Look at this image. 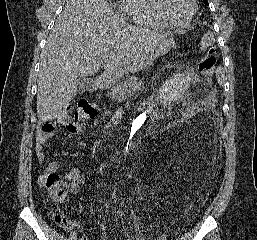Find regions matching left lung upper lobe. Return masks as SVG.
<instances>
[{"mask_svg": "<svg viewBox=\"0 0 257 240\" xmlns=\"http://www.w3.org/2000/svg\"><path fill=\"white\" fill-rule=\"evenodd\" d=\"M204 3H205V5H208V1H207V0H205V2H204Z\"/></svg>", "mask_w": 257, "mask_h": 240, "instance_id": "obj_1", "label": "left lung upper lobe"}]
</instances>
